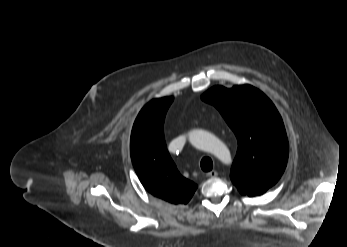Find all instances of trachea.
Wrapping results in <instances>:
<instances>
[{
    "label": "trachea",
    "mask_w": 347,
    "mask_h": 247,
    "mask_svg": "<svg viewBox=\"0 0 347 247\" xmlns=\"http://www.w3.org/2000/svg\"><path fill=\"white\" fill-rule=\"evenodd\" d=\"M200 166H201V169L205 172H208V171H211L212 168H213V162L211 160V158L209 157H204L202 158L201 160V163H200Z\"/></svg>",
    "instance_id": "3493384b"
}]
</instances>
